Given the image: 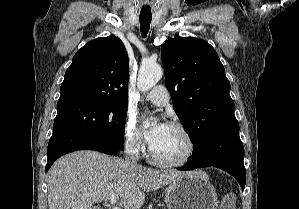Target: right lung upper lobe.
Instances as JSON below:
<instances>
[{
	"instance_id": "obj_1",
	"label": "right lung upper lobe",
	"mask_w": 299,
	"mask_h": 209,
	"mask_svg": "<svg viewBox=\"0 0 299 209\" xmlns=\"http://www.w3.org/2000/svg\"><path fill=\"white\" fill-rule=\"evenodd\" d=\"M129 59L115 36L88 42L73 57L60 88L58 104L103 102L127 104Z\"/></svg>"
}]
</instances>
